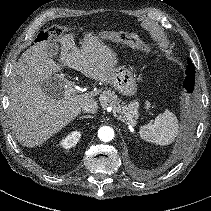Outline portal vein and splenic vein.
I'll return each instance as SVG.
<instances>
[{"instance_id":"obj_1","label":"portal vein and splenic vein","mask_w":211,"mask_h":211,"mask_svg":"<svg viewBox=\"0 0 211 211\" xmlns=\"http://www.w3.org/2000/svg\"><path fill=\"white\" fill-rule=\"evenodd\" d=\"M65 94L66 95H76L77 91L71 86V83H66L65 87Z\"/></svg>"}]
</instances>
